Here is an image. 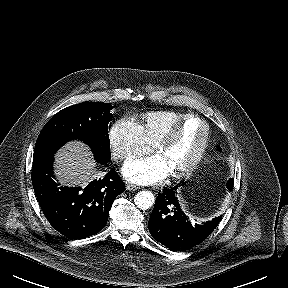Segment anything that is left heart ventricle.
Returning <instances> with one entry per match:
<instances>
[{
	"label": "left heart ventricle",
	"instance_id": "left-heart-ventricle-1",
	"mask_svg": "<svg viewBox=\"0 0 288 288\" xmlns=\"http://www.w3.org/2000/svg\"><path fill=\"white\" fill-rule=\"evenodd\" d=\"M206 134L199 120L187 122L167 146L156 151L168 168L169 174L181 172L200 151Z\"/></svg>",
	"mask_w": 288,
	"mask_h": 288
}]
</instances>
